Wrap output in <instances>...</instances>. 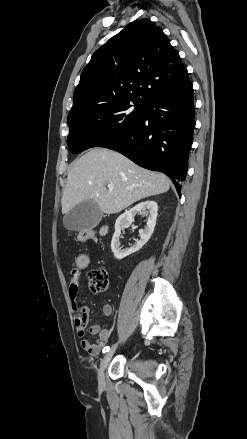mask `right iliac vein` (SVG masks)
I'll return each mask as SVG.
<instances>
[{"instance_id": "63e3f726", "label": "right iliac vein", "mask_w": 247, "mask_h": 439, "mask_svg": "<svg viewBox=\"0 0 247 439\" xmlns=\"http://www.w3.org/2000/svg\"><path fill=\"white\" fill-rule=\"evenodd\" d=\"M116 348H117V343L114 344L111 347V349L105 354L104 358L101 361L100 369L98 371V381H99L100 384L104 383V372H105V369L107 368V366H108V364H109V362H110V360H111V358H112Z\"/></svg>"}]
</instances>
